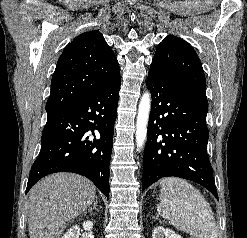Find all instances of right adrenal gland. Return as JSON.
Returning <instances> with one entry per match:
<instances>
[{"label":"right adrenal gland","mask_w":247,"mask_h":238,"mask_svg":"<svg viewBox=\"0 0 247 238\" xmlns=\"http://www.w3.org/2000/svg\"><path fill=\"white\" fill-rule=\"evenodd\" d=\"M96 206H97V199L93 203V207H90L87 211L84 212V214H87L88 212H91L92 210H96L97 211V207Z\"/></svg>","instance_id":"right-adrenal-gland-1"}]
</instances>
